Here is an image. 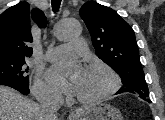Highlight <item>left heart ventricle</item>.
<instances>
[{"instance_id":"obj_1","label":"left heart ventricle","mask_w":165,"mask_h":120,"mask_svg":"<svg viewBox=\"0 0 165 120\" xmlns=\"http://www.w3.org/2000/svg\"><path fill=\"white\" fill-rule=\"evenodd\" d=\"M110 84L111 79L106 72L86 69L75 95L84 99L94 98L104 93Z\"/></svg>"}]
</instances>
